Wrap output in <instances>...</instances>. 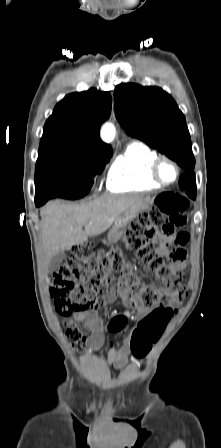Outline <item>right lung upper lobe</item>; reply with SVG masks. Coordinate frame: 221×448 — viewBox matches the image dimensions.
<instances>
[{
  "label": "right lung upper lobe",
  "mask_w": 221,
  "mask_h": 448,
  "mask_svg": "<svg viewBox=\"0 0 221 448\" xmlns=\"http://www.w3.org/2000/svg\"><path fill=\"white\" fill-rule=\"evenodd\" d=\"M111 95L94 88L67 95L44 125L39 149L69 147L88 154L112 153L101 141L102 122L111 112Z\"/></svg>",
  "instance_id": "cb5924a9"
}]
</instances>
